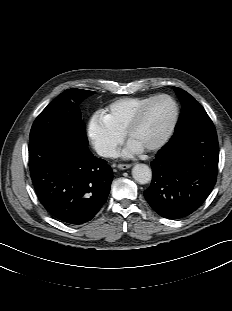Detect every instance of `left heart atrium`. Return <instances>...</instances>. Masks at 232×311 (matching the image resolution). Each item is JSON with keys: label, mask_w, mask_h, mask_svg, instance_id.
I'll return each mask as SVG.
<instances>
[{"label": "left heart atrium", "mask_w": 232, "mask_h": 311, "mask_svg": "<svg viewBox=\"0 0 232 311\" xmlns=\"http://www.w3.org/2000/svg\"><path fill=\"white\" fill-rule=\"evenodd\" d=\"M142 151L143 149L139 145H137L133 141H129L127 145L125 146V148L122 150L121 154L125 158H130L136 154L141 153Z\"/></svg>", "instance_id": "39dd6f15"}]
</instances>
